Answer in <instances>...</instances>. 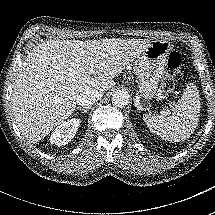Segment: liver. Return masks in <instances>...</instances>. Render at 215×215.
Returning <instances> with one entry per match:
<instances>
[{"mask_svg":"<svg viewBox=\"0 0 215 215\" xmlns=\"http://www.w3.org/2000/svg\"><path fill=\"white\" fill-rule=\"evenodd\" d=\"M150 39L49 40L20 63L12 92L15 123L29 143L43 140L76 109L83 92L108 91Z\"/></svg>","mask_w":215,"mask_h":215,"instance_id":"6515ba94","label":"liver"}]
</instances>
